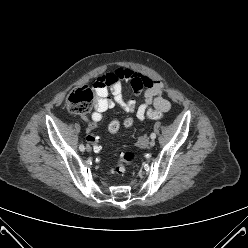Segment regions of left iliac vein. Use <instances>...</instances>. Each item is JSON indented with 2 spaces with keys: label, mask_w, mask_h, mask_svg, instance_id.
Masks as SVG:
<instances>
[{
  "label": "left iliac vein",
  "mask_w": 248,
  "mask_h": 248,
  "mask_svg": "<svg viewBox=\"0 0 248 248\" xmlns=\"http://www.w3.org/2000/svg\"><path fill=\"white\" fill-rule=\"evenodd\" d=\"M155 145V141L154 140H151L150 143H149V147H153Z\"/></svg>",
  "instance_id": "left-iliac-vein-1"
}]
</instances>
